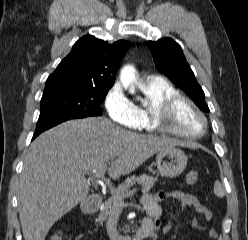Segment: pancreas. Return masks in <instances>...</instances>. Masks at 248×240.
I'll return each mask as SVG.
<instances>
[{
  "instance_id": "obj_1",
  "label": "pancreas",
  "mask_w": 248,
  "mask_h": 240,
  "mask_svg": "<svg viewBox=\"0 0 248 240\" xmlns=\"http://www.w3.org/2000/svg\"><path fill=\"white\" fill-rule=\"evenodd\" d=\"M157 181V178H153L152 176L142 174L139 177H129L124 183L119 185V187L112 192L111 197L104 203V206L98 215V221H106L109 216H111L115 210L119 207L120 204L124 203V197L126 193L129 192V188L137 182L141 185L143 192H148Z\"/></svg>"
}]
</instances>
